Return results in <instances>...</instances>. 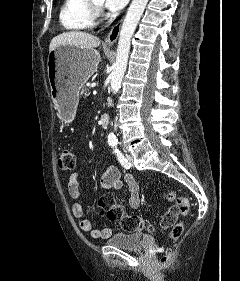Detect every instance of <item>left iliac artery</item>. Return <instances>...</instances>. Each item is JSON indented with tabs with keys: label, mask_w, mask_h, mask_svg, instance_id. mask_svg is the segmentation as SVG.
Returning <instances> with one entry per match:
<instances>
[{
	"label": "left iliac artery",
	"mask_w": 240,
	"mask_h": 281,
	"mask_svg": "<svg viewBox=\"0 0 240 281\" xmlns=\"http://www.w3.org/2000/svg\"><path fill=\"white\" fill-rule=\"evenodd\" d=\"M115 153L117 155V159L120 162V164L124 168L129 169L130 168V164H129L128 160L124 157V155L119 151V149H115Z\"/></svg>",
	"instance_id": "left-iliac-artery-1"
}]
</instances>
